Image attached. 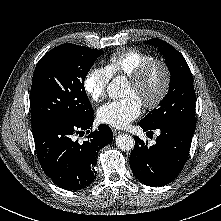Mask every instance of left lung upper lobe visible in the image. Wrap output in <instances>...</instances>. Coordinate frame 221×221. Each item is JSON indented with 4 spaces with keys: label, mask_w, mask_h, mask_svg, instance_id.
<instances>
[{
    "label": "left lung upper lobe",
    "mask_w": 221,
    "mask_h": 221,
    "mask_svg": "<svg viewBox=\"0 0 221 221\" xmlns=\"http://www.w3.org/2000/svg\"><path fill=\"white\" fill-rule=\"evenodd\" d=\"M147 43L158 48L165 57L171 74L170 88L160 102L141 121L150 127L173 122H181L196 127L195 91L192 74L184 57L173 46L160 39H151Z\"/></svg>",
    "instance_id": "5c2ea615"
}]
</instances>
